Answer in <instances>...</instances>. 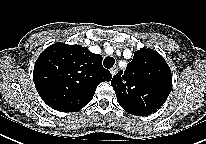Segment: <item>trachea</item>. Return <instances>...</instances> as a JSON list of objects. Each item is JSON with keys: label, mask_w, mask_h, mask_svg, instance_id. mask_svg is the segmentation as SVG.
<instances>
[{"label": "trachea", "mask_w": 206, "mask_h": 144, "mask_svg": "<svg viewBox=\"0 0 206 144\" xmlns=\"http://www.w3.org/2000/svg\"><path fill=\"white\" fill-rule=\"evenodd\" d=\"M114 63H115V59L113 57H106L103 61V65L107 69L112 68Z\"/></svg>", "instance_id": "obj_1"}]
</instances>
